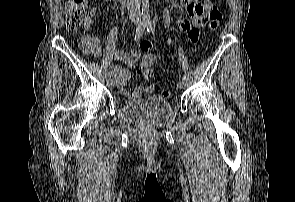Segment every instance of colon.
I'll use <instances>...</instances> for the list:
<instances>
[{"label": "colon", "mask_w": 295, "mask_h": 202, "mask_svg": "<svg viewBox=\"0 0 295 202\" xmlns=\"http://www.w3.org/2000/svg\"><path fill=\"white\" fill-rule=\"evenodd\" d=\"M65 10V25L68 31L78 32L86 24V10L87 0H66L64 5ZM222 19V14L218 7L214 6L209 13V24L210 30H216ZM84 50H89L90 45L82 43ZM141 66H138V71H144L145 74L155 75L153 70L156 64L155 52H144V56H140ZM144 90H155L154 82H147L144 85ZM170 91L167 89L162 90L161 96L163 98L170 97Z\"/></svg>", "instance_id": "colon-1"}]
</instances>
